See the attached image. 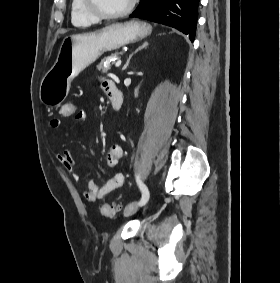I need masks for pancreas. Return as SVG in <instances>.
Returning <instances> with one entry per match:
<instances>
[{
	"instance_id": "pancreas-1",
	"label": "pancreas",
	"mask_w": 280,
	"mask_h": 283,
	"mask_svg": "<svg viewBox=\"0 0 280 283\" xmlns=\"http://www.w3.org/2000/svg\"><path fill=\"white\" fill-rule=\"evenodd\" d=\"M121 54H122V52H115L111 56L112 57H118ZM108 61H109L108 57H104L103 59H101L100 63L96 66L97 69L101 70L102 72L108 71L110 69L111 64L108 63L107 66H104L105 62H108Z\"/></svg>"
}]
</instances>
